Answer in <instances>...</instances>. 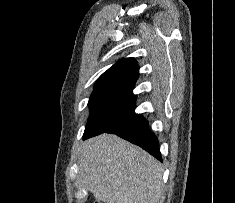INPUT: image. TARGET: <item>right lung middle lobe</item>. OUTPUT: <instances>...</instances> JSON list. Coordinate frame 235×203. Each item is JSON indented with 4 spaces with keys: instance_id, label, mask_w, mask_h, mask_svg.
Instances as JSON below:
<instances>
[{
    "instance_id": "dd1d6c3e",
    "label": "right lung middle lobe",
    "mask_w": 235,
    "mask_h": 203,
    "mask_svg": "<svg viewBox=\"0 0 235 203\" xmlns=\"http://www.w3.org/2000/svg\"><path fill=\"white\" fill-rule=\"evenodd\" d=\"M132 85H107L95 87L89 100L90 116L85 136L106 119L135 103Z\"/></svg>"
}]
</instances>
